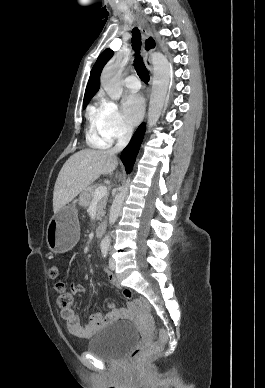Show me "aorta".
Returning a JSON list of instances; mask_svg holds the SVG:
<instances>
[{"label": "aorta", "mask_w": 265, "mask_h": 388, "mask_svg": "<svg viewBox=\"0 0 265 388\" xmlns=\"http://www.w3.org/2000/svg\"><path fill=\"white\" fill-rule=\"evenodd\" d=\"M151 60L153 64V81L152 91L150 95L149 109H148V128L156 125L165 102L167 90L170 83V64L167 58L161 53H152ZM127 62V59L117 57L111 60L103 69L101 75V85L112 99H119L123 88L121 84V73ZM130 178L127 179L124 187L115 196L110 213L109 224L113 225L120 213L122 204L127 195ZM111 243V236L108 233L102 240V245L109 246Z\"/></svg>", "instance_id": "1"}]
</instances>
